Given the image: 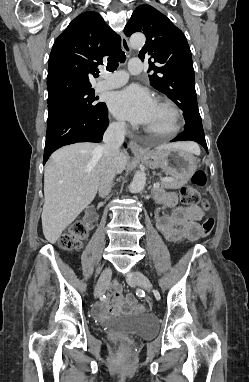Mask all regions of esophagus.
Wrapping results in <instances>:
<instances>
[{"label":"esophagus","instance_id":"obj_1","mask_svg":"<svg viewBox=\"0 0 249 382\" xmlns=\"http://www.w3.org/2000/svg\"><path fill=\"white\" fill-rule=\"evenodd\" d=\"M121 46H122V49L126 53H130L132 51V49L129 45L128 39L124 35V33L121 34ZM129 148L132 151V153H134V154H143L144 153L143 148L134 140L129 141Z\"/></svg>","mask_w":249,"mask_h":382}]
</instances>
